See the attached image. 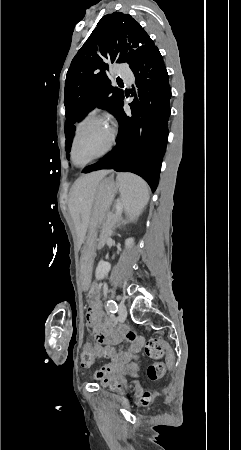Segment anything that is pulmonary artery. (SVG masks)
Instances as JSON below:
<instances>
[{
    "label": "pulmonary artery",
    "instance_id": "1",
    "mask_svg": "<svg viewBox=\"0 0 241 450\" xmlns=\"http://www.w3.org/2000/svg\"><path fill=\"white\" fill-rule=\"evenodd\" d=\"M117 78L119 84H125L129 87L135 78V73L134 71H119Z\"/></svg>",
    "mask_w": 241,
    "mask_h": 450
}]
</instances>
